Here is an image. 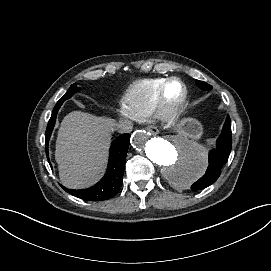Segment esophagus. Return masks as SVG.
Instances as JSON below:
<instances>
[{
	"label": "esophagus",
	"mask_w": 271,
	"mask_h": 271,
	"mask_svg": "<svg viewBox=\"0 0 271 271\" xmlns=\"http://www.w3.org/2000/svg\"><path fill=\"white\" fill-rule=\"evenodd\" d=\"M146 130L152 134L153 136L157 135L159 133V130L156 126L150 125L146 128Z\"/></svg>",
	"instance_id": "34e87169"
}]
</instances>
